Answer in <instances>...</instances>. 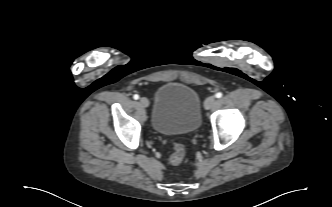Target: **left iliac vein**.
Instances as JSON below:
<instances>
[{
    "label": "left iliac vein",
    "instance_id": "left-iliac-vein-1",
    "mask_svg": "<svg viewBox=\"0 0 332 207\" xmlns=\"http://www.w3.org/2000/svg\"><path fill=\"white\" fill-rule=\"evenodd\" d=\"M215 103H216L215 96H209L204 102V107L206 110H209L215 105Z\"/></svg>",
    "mask_w": 332,
    "mask_h": 207
}]
</instances>
